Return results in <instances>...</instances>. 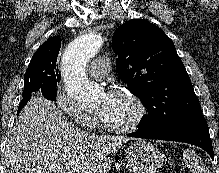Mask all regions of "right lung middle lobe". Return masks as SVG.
<instances>
[{"instance_id": "dd1d6c3e", "label": "right lung middle lobe", "mask_w": 219, "mask_h": 173, "mask_svg": "<svg viewBox=\"0 0 219 173\" xmlns=\"http://www.w3.org/2000/svg\"><path fill=\"white\" fill-rule=\"evenodd\" d=\"M59 81L60 78L53 69L28 66L24 75V90L22 97L39 91L45 98L55 100L57 93L56 87Z\"/></svg>"}]
</instances>
